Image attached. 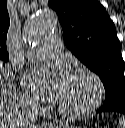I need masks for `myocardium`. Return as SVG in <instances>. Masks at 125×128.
I'll list each match as a JSON object with an SVG mask.
<instances>
[{
	"instance_id": "myocardium-1",
	"label": "myocardium",
	"mask_w": 125,
	"mask_h": 128,
	"mask_svg": "<svg viewBox=\"0 0 125 128\" xmlns=\"http://www.w3.org/2000/svg\"><path fill=\"white\" fill-rule=\"evenodd\" d=\"M72 76L85 77L94 86V96L91 101L78 109H66L58 105V112L67 118H79L97 110L104 100V85L101 79L92 71L85 68H77L72 71Z\"/></svg>"
}]
</instances>
